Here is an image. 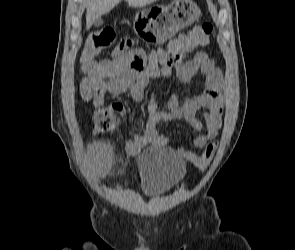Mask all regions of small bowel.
<instances>
[{"mask_svg": "<svg viewBox=\"0 0 295 250\" xmlns=\"http://www.w3.org/2000/svg\"><path fill=\"white\" fill-rule=\"evenodd\" d=\"M132 38H124L112 53L105 72L87 74L80 83L81 97L91 102L95 109L102 108L107 96H118L128 92L140 102L151 79L169 77L175 70L181 83L188 82L197 72L205 76L204 90L188 96L183 101L176 94L159 104L152 95L148 103V120L143 130L136 131L134 139L125 145L129 155H137L145 146H166L169 139L157 132V126L172 120H185L200 134L193 139V146L204 148L214 141L222 126L225 97L222 91V73L206 53L197 52L188 57L194 47L180 48L176 40L167 49L146 51L134 47ZM117 112L129 122V117L120 103H114ZM205 109L203 120L196 113ZM177 150L188 159L192 152L178 147ZM87 157L94 172L106 174L111 165L112 147L107 142H96L89 146Z\"/></svg>", "mask_w": 295, "mask_h": 250, "instance_id": "obj_1", "label": "small bowel"}]
</instances>
